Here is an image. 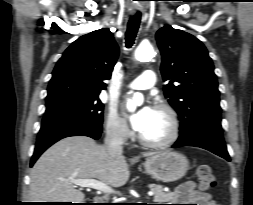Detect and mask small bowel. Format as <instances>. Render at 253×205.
Returning a JSON list of instances; mask_svg holds the SVG:
<instances>
[{
  "label": "small bowel",
  "mask_w": 253,
  "mask_h": 205,
  "mask_svg": "<svg viewBox=\"0 0 253 205\" xmlns=\"http://www.w3.org/2000/svg\"><path fill=\"white\" fill-rule=\"evenodd\" d=\"M176 199L184 203H194L184 205H219L211 199L208 193L196 190L192 182H188L178 189Z\"/></svg>",
  "instance_id": "1"
}]
</instances>
